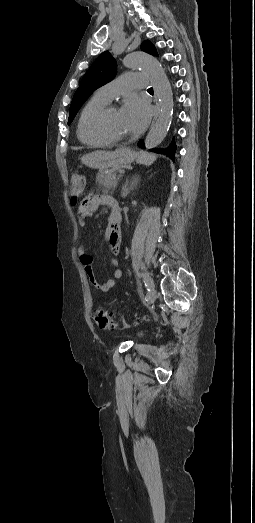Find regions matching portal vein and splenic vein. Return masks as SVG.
Segmentation results:
<instances>
[{
	"label": "portal vein and splenic vein",
	"instance_id": "obj_1",
	"mask_svg": "<svg viewBox=\"0 0 255 523\" xmlns=\"http://www.w3.org/2000/svg\"><path fill=\"white\" fill-rule=\"evenodd\" d=\"M118 174H119L120 176H123L124 174H126V171H124L123 169H120V170L118 171Z\"/></svg>",
	"mask_w": 255,
	"mask_h": 523
}]
</instances>
